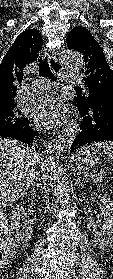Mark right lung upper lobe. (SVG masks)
<instances>
[{
  "instance_id": "cb5924a9",
  "label": "right lung upper lobe",
  "mask_w": 113,
  "mask_h": 279,
  "mask_svg": "<svg viewBox=\"0 0 113 279\" xmlns=\"http://www.w3.org/2000/svg\"><path fill=\"white\" fill-rule=\"evenodd\" d=\"M42 36L36 29L23 31L7 51L0 65V108L14 103L23 69L34 62L42 48Z\"/></svg>"
}]
</instances>
